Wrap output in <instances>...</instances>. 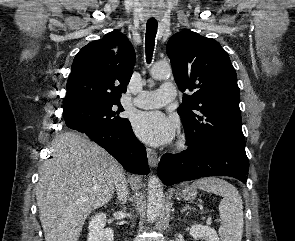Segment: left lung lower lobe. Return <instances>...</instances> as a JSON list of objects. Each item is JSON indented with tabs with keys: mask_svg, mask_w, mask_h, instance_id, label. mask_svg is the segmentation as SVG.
<instances>
[{
	"mask_svg": "<svg viewBox=\"0 0 295 241\" xmlns=\"http://www.w3.org/2000/svg\"><path fill=\"white\" fill-rule=\"evenodd\" d=\"M249 160L245 152L223 146L188 148L180 154H164L158 176L165 185L208 176H230L247 181Z\"/></svg>",
	"mask_w": 295,
	"mask_h": 241,
	"instance_id": "obj_1",
	"label": "left lung lower lobe"
}]
</instances>
